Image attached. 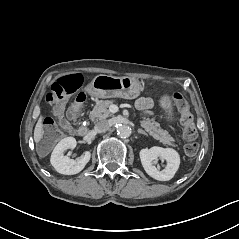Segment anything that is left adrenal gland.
Masks as SVG:
<instances>
[{"label": "left adrenal gland", "instance_id": "obj_1", "mask_svg": "<svg viewBox=\"0 0 239 239\" xmlns=\"http://www.w3.org/2000/svg\"><path fill=\"white\" fill-rule=\"evenodd\" d=\"M138 132L141 133V134H144V135L148 136V134H147L144 130H142L141 128L138 129Z\"/></svg>", "mask_w": 239, "mask_h": 239}]
</instances>
